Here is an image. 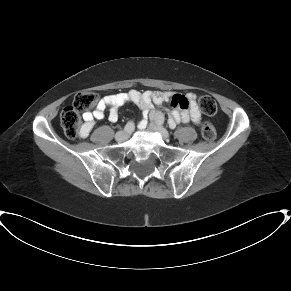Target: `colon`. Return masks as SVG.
<instances>
[{
    "mask_svg": "<svg viewBox=\"0 0 291 291\" xmlns=\"http://www.w3.org/2000/svg\"><path fill=\"white\" fill-rule=\"evenodd\" d=\"M99 101V95L93 90H85L78 92L70 106L65 107L60 114V124L68 138L75 139L80 136V114L90 111ZM202 111L207 115H215L217 113V104L210 95H203L198 100ZM172 108H177L176 101L171 102ZM188 103H183L182 108H189ZM180 107V106H179ZM202 137L206 141H212L216 136L215 128L207 122L201 126Z\"/></svg>",
    "mask_w": 291,
    "mask_h": 291,
    "instance_id": "obj_1",
    "label": "colon"
}]
</instances>
